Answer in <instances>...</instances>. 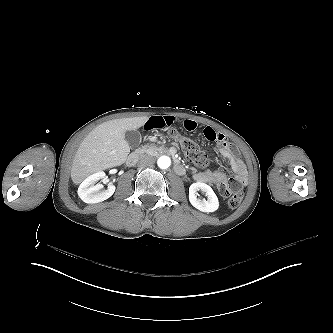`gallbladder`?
<instances>
[{
	"label": "gallbladder",
	"mask_w": 333,
	"mask_h": 333,
	"mask_svg": "<svg viewBox=\"0 0 333 333\" xmlns=\"http://www.w3.org/2000/svg\"><path fill=\"white\" fill-rule=\"evenodd\" d=\"M141 134L137 130L126 131L125 132V140L129 144L131 149H136L141 143Z\"/></svg>",
	"instance_id": "bac80fb5"
}]
</instances>
